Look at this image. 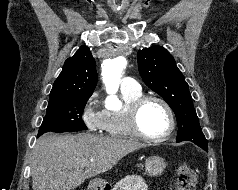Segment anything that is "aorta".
I'll return each instance as SVG.
<instances>
[{
    "instance_id": "aorta-1",
    "label": "aorta",
    "mask_w": 238,
    "mask_h": 190,
    "mask_svg": "<svg viewBox=\"0 0 238 190\" xmlns=\"http://www.w3.org/2000/svg\"><path fill=\"white\" fill-rule=\"evenodd\" d=\"M126 59L123 56L109 59L102 67L103 82L109 94H115L119 88L120 76L126 67ZM114 104H117L115 97H112Z\"/></svg>"
}]
</instances>
